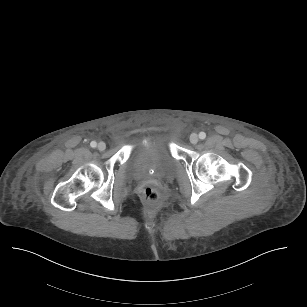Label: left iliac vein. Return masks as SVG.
Here are the masks:
<instances>
[{"instance_id":"4c4485c4","label":"left iliac vein","mask_w":307,"mask_h":307,"mask_svg":"<svg viewBox=\"0 0 307 307\" xmlns=\"http://www.w3.org/2000/svg\"><path fill=\"white\" fill-rule=\"evenodd\" d=\"M198 140H199V138H198V135H197V134H192V135L190 136V142H191L192 144H197V143H198Z\"/></svg>"}]
</instances>
